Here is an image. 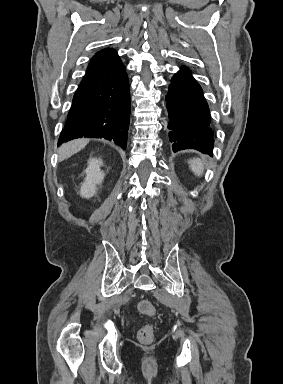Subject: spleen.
Here are the masks:
<instances>
[{
	"label": "spleen",
	"mask_w": 283,
	"mask_h": 384,
	"mask_svg": "<svg viewBox=\"0 0 283 384\" xmlns=\"http://www.w3.org/2000/svg\"><path fill=\"white\" fill-rule=\"evenodd\" d=\"M190 170L196 174V176H201L204 172V166L202 160L200 158H193V160H189L188 162Z\"/></svg>",
	"instance_id": "1"
}]
</instances>
